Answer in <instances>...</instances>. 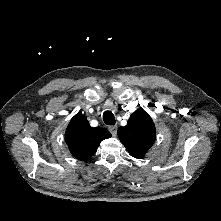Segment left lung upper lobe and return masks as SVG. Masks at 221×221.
Listing matches in <instances>:
<instances>
[{
	"label": "left lung upper lobe",
	"instance_id": "5c2ea615",
	"mask_svg": "<svg viewBox=\"0 0 221 221\" xmlns=\"http://www.w3.org/2000/svg\"><path fill=\"white\" fill-rule=\"evenodd\" d=\"M117 133L129 154L135 158L144 157L156 138L154 123L143 109L136 110L127 125L119 127Z\"/></svg>",
	"mask_w": 221,
	"mask_h": 221
}]
</instances>
